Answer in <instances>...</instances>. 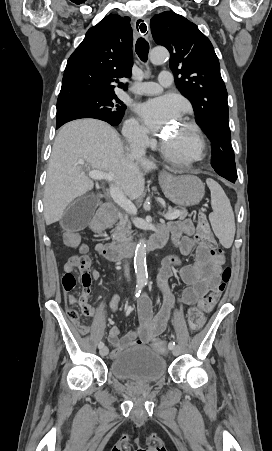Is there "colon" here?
<instances>
[{"mask_svg":"<svg viewBox=\"0 0 272 451\" xmlns=\"http://www.w3.org/2000/svg\"><path fill=\"white\" fill-rule=\"evenodd\" d=\"M63 238L67 248L74 250L76 244L79 242V237L76 235L75 230H64ZM198 241L209 248L210 258H225V249H216V242L213 234L210 232L209 224L204 213L200 214L198 223ZM90 266V258L86 254L72 255L68 258L66 263V274H60L59 280L62 289H77L78 281L75 274H71L74 269L88 270ZM231 268L226 267L221 274V284L209 289L203 296L200 307H192L188 310L187 318L191 329L198 330L202 327L204 322V312L211 311L213 307L218 303L223 292L225 291L228 280L231 276ZM91 311L90 305L85 304L81 307L83 314H89ZM68 316L72 321H76L78 318V311L72 309L68 312ZM81 332L86 333L88 328L86 326L81 327ZM153 351H160L161 354H168L171 351V342H153Z\"/></svg>","mask_w":272,"mask_h":451,"instance_id":"colon-1","label":"colon"}]
</instances>
